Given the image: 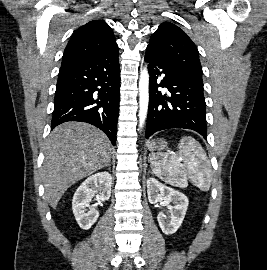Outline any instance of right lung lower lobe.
Returning a JSON list of instances; mask_svg holds the SVG:
<instances>
[{"label": "right lung lower lobe", "instance_id": "obj_1", "mask_svg": "<svg viewBox=\"0 0 267 270\" xmlns=\"http://www.w3.org/2000/svg\"><path fill=\"white\" fill-rule=\"evenodd\" d=\"M118 49L61 66L51 129L81 121L101 129L116 144L120 102Z\"/></svg>", "mask_w": 267, "mask_h": 270}]
</instances>
